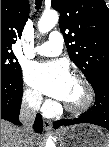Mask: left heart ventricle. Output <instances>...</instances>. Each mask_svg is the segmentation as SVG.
Masks as SVG:
<instances>
[{
    "mask_svg": "<svg viewBox=\"0 0 109 147\" xmlns=\"http://www.w3.org/2000/svg\"><path fill=\"white\" fill-rule=\"evenodd\" d=\"M87 98V90L77 79L71 78L67 87L64 102L70 106H80Z\"/></svg>",
    "mask_w": 109,
    "mask_h": 147,
    "instance_id": "left-heart-ventricle-1",
    "label": "left heart ventricle"
}]
</instances>
